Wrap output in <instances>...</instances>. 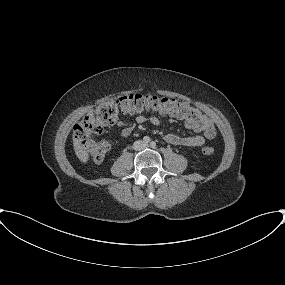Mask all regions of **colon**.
<instances>
[{
  "label": "colon",
  "mask_w": 285,
  "mask_h": 285,
  "mask_svg": "<svg viewBox=\"0 0 285 285\" xmlns=\"http://www.w3.org/2000/svg\"><path fill=\"white\" fill-rule=\"evenodd\" d=\"M144 111H154L184 119L209 136H215L216 133L211 118L186 101L166 96L131 93L122 96L116 102L101 104L85 115L74 127V138L88 151L92 161L101 162L110 150V143L108 141L95 142L93 138L99 135L105 127L113 125L120 112L133 114ZM213 152L212 146L203 148V153L206 155H211Z\"/></svg>",
  "instance_id": "obj_1"
}]
</instances>
